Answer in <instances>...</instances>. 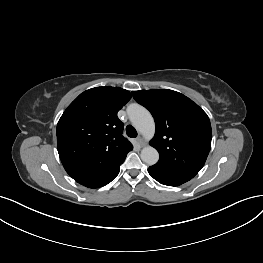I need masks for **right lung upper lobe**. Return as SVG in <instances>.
<instances>
[{
	"label": "right lung upper lobe",
	"instance_id": "obj_1",
	"mask_svg": "<svg viewBox=\"0 0 263 263\" xmlns=\"http://www.w3.org/2000/svg\"><path fill=\"white\" fill-rule=\"evenodd\" d=\"M129 91L95 87L81 93L57 124V147L66 172L76 181L102 176L123 163L132 144L122 136L117 112Z\"/></svg>",
	"mask_w": 263,
	"mask_h": 263
}]
</instances>
